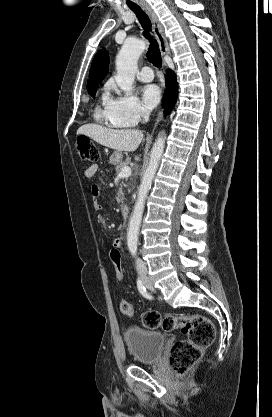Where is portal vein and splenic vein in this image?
Instances as JSON below:
<instances>
[{
	"label": "portal vein and splenic vein",
	"mask_w": 272,
	"mask_h": 417,
	"mask_svg": "<svg viewBox=\"0 0 272 417\" xmlns=\"http://www.w3.org/2000/svg\"><path fill=\"white\" fill-rule=\"evenodd\" d=\"M121 176H130L131 175V169L130 167L126 166L124 167L121 172L119 173Z\"/></svg>",
	"instance_id": "1"
}]
</instances>
